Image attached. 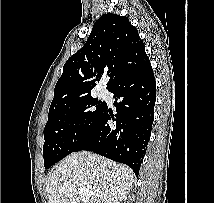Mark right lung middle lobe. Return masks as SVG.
<instances>
[{"instance_id":"1","label":"right lung middle lobe","mask_w":214,"mask_h":203,"mask_svg":"<svg viewBox=\"0 0 214 203\" xmlns=\"http://www.w3.org/2000/svg\"><path fill=\"white\" fill-rule=\"evenodd\" d=\"M104 105V102L88 96L49 111L44 128L45 169L73 152L92 129Z\"/></svg>"}]
</instances>
